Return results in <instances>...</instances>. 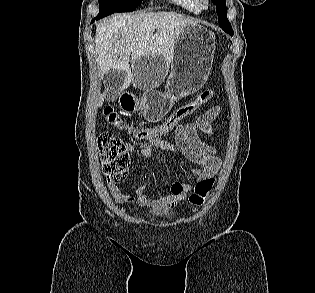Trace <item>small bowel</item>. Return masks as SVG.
I'll use <instances>...</instances> for the list:
<instances>
[{
    "label": "small bowel",
    "instance_id": "small-bowel-1",
    "mask_svg": "<svg viewBox=\"0 0 315 293\" xmlns=\"http://www.w3.org/2000/svg\"><path fill=\"white\" fill-rule=\"evenodd\" d=\"M220 107H212L201 114L195 121L180 122L173 130L175 132V144L154 137L144 141L140 146L141 157L148 161L152 157L153 148L168 151L175 158L180 155L186 157L192 163L198 165L200 169H194L193 173L198 177V181L214 176L221 165L217 149L203 141L197 135L201 130L208 136H214L215 130L213 121L220 114ZM128 152L134 151V146L126 144ZM192 187L188 183L175 181L169 191L159 198H151L146 192V185L141 184L135 188V195L125 194L121 189L112 183H108V190L116 203H138L145 207H174L180 201L187 198Z\"/></svg>",
    "mask_w": 315,
    "mask_h": 293
}]
</instances>
